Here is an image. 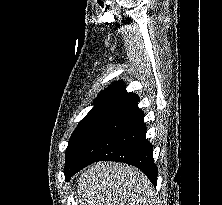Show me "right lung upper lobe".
Wrapping results in <instances>:
<instances>
[{"label":"right lung upper lobe","instance_id":"obj_1","mask_svg":"<svg viewBox=\"0 0 222 205\" xmlns=\"http://www.w3.org/2000/svg\"><path fill=\"white\" fill-rule=\"evenodd\" d=\"M133 94L125 90L123 82H114L98 95L94 101V107L89 113L109 112Z\"/></svg>","mask_w":222,"mask_h":205}]
</instances>
